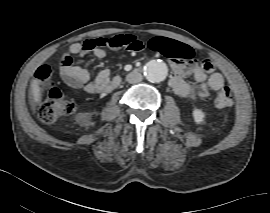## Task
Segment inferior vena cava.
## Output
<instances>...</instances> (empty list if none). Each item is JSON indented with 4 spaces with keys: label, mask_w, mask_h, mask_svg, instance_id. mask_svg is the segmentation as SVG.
<instances>
[{
    "label": "inferior vena cava",
    "mask_w": 270,
    "mask_h": 213,
    "mask_svg": "<svg viewBox=\"0 0 270 213\" xmlns=\"http://www.w3.org/2000/svg\"><path fill=\"white\" fill-rule=\"evenodd\" d=\"M143 76L136 71L130 72L127 76H126V80L129 83H138L140 81H142Z\"/></svg>",
    "instance_id": "602c4592"
}]
</instances>
